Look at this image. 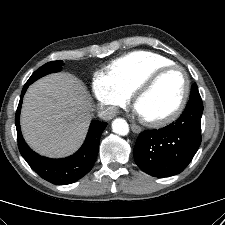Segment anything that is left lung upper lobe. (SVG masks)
<instances>
[{"mask_svg":"<svg viewBox=\"0 0 225 225\" xmlns=\"http://www.w3.org/2000/svg\"><path fill=\"white\" fill-rule=\"evenodd\" d=\"M195 97H200V94H199L197 85L193 84L192 89H191L190 98H195Z\"/></svg>","mask_w":225,"mask_h":225,"instance_id":"1","label":"left lung upper lobe"}]
</instances>
